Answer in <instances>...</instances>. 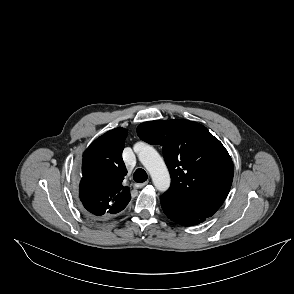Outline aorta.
Listing matches in <instances>:
<instances>
[{"mask_svg": "<svg viewBox=\"0 0 294 294\" xmlns=\"http://www.w3.org/2000/svg\"><path fill=\"white\" fill-rule=\"evenodd\" d=\"M134 150L142 165L150 173L156 189L161 192L166 191L171 179L167 166L159 153L152 146L142 142L135 144Z\"/></svg>", "mask_w": 294, "mask_h": 294, "instance_id": "obj_1", "label": "aorta"}]
</instances>
